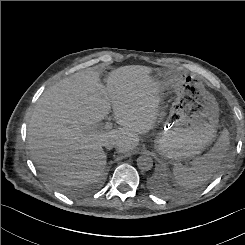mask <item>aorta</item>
Returning <instances> with one entry per match:
<instances>
[{
    "instance_id": "aorta-1",
    "label": "aorta",
    "mask_w": 245,
    "mask_h": 245,
    "mask_svg": "<svg viewBox=\"0 0 245 245\" xmlns=\"http://www.w3.org/2000/svg\"><path fill=\"white\" fill-rule=\"evenodd\" d=\"M137 166L142 171H148L153 166V160L148 155H142L137 158Z\"/></svg>"
}]
</instances>
